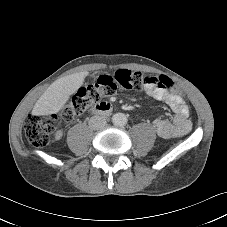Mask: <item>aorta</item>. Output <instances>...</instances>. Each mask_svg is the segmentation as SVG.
<instances>
[{"label": "aorta", "instance_id": "762f6f07", "mask_svg": "<svg viewBox=\"0 0 227 227\" xmlns=\"http://www.w3.org/2000/svg\"><path fill=\"white\" fill-rule=\"evenodd\" d=\"M127 117L123 113H116L112 117V122L117 126H124L127 124Z\"/></svg>", "mask_w": 227, "mask_h": 227}]
</instances>
